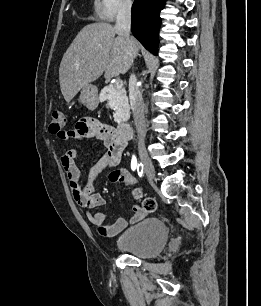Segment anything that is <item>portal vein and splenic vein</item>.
Returning <instances> with one entry per match:
<instances>
[{"mask_svg":"<svg viewBox=\"0 0 261 306\" xmlns=\"http://www.w3.org/2000/svg\"><path fill=\"white\" fill-rule=\"evenodd\" d=\"M115 85H116L117 88H122L123 82L121 80H118V81H116Z\"/></svg>","mask_w":261,"mask_h":306,"instance_id":"portal-vein-and-splenic-vein-1","label":"portal vein and splenic vein"}]
</instances>
